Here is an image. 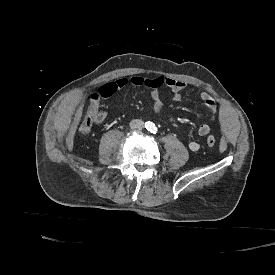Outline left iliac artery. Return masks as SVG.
I'll use <instances>...</instances> for the list:
<instances>
[{
    "mask_svg": "<svg viewBox=\"0 0 275 275\" xmlns=\"http://www.w3.org/2000/svg\"><path fill=\"white\" fill-rule=\"evenodd\" d=\"M151 132L155 134V133L157 132V127H153V128L151 129Z\"/></svg>",
    "mask_w": 275,
    "mask_h": 275,
    "instance_id": "44dca946",
    "label": "left iliac artery"
}]
</instances>
